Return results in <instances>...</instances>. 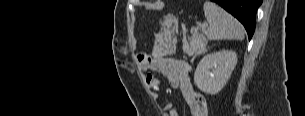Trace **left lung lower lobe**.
<instances>
[{
  "label": "left lung lower lobe",
  "instance_id": "left-lung-lower-lobe-1",
  "mask_svg": "<svg viewBox=\"0 0 305 116\" xmlns=\"http://www.w3.org/2000/svg\"><path fill=\"white\" fill-rule=\"evenodd\" d=\"M226 11L236 17L247 30L249 39H251L256 22V11L261 5L262 0H212Z\"/></svg>",
  "mask_w": 305,
  "mask_h": 116
}]
</instances>
